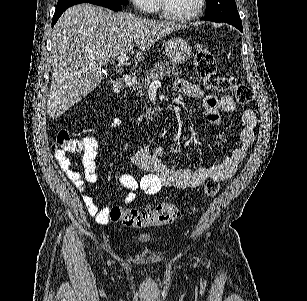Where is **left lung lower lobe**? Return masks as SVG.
Returning <instances> with one entry per match:
<instances>
[{"label": "left lung lower lobe", "mask_w": 307, "mask_h": 301, "mask_svg": "<svg viewBox=\"0 0 307 301\" xmlns=\"http://www.w3.org/2000/svg\"><path fill=\"white\" fill-rule=\"evenodd\" d=\"M235 27H236L237 29H239L241 32H243L242 24L236 25Z\"/></svg>", "instance_id": "obj_1"}]
</instances>
